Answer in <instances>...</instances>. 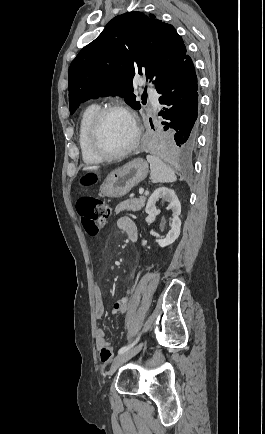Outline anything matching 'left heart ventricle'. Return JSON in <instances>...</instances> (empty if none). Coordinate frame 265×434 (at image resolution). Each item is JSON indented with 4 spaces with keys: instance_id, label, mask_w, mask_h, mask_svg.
Listing matches in <instances>:
<instances>
[{
    "instance_id": "left-heart-ventricle-1",
    "label": "left heart ventricle",
    "mask_w": 265,
    "mask_h": 434,
    "mask_svg": "<svg viewBox=\"0 0 265 434\" xmlns=\"http://www.w3.org/2000/svg\"><path fill=\"white\" fill-rule=\"evenodd\" d=\"M135 138L132 120L121 112L108 115L103 124L102 140L111 152L118 153L129 148Z\"/></svg>"
}]
</instances>
